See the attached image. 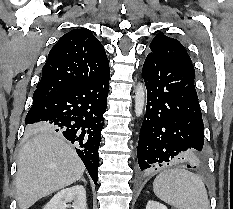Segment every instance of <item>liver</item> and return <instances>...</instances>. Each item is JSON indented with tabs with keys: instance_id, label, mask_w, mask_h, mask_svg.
<instances>
[{
	"instance_id": "6515ba94",
	"label": "liver",
	"mask_w": 233,
	"mask_h": 209,
	"mask_svg": "<svg viewBox=\"0 0 233 209\" xmlns=\"http://www.w3.org/2000/svg\"><path fill=\"white\" fill-rule=\"evenodd\" d=\"M35 135L21 148L16 174L19 209L78 181L85 166L60 134L42 127L29 128Z\"/></svg>"
}]
</instances>
